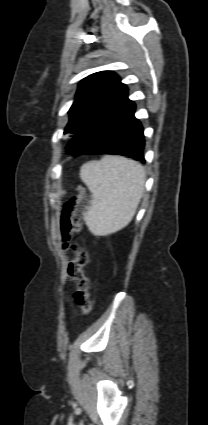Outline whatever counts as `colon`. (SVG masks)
Instances as JSON below:
<instances>
[{
    "instance_id": "obj_1",
    "label": "colon",
    "mask_w": 208,
    "mask_h": 425,
    "mask_svg": "<svg viewBox=\"0 0 208 425\" xmlns=\"http://www.w3.org/2000/svg\"><path fill=\"white\" fill-rule=\"evenodd\" d=\"M75 190L77 194L64 204L60 220V232L63 248L74 255L67 265V276L75 283L76 288L73 294L74 301L84 314H88L92 308V301L89 292V279L85 275L84 268L89 262V256L82 246L71 242L72 238L81 231L86 189L83 185H77Z\"/></svg>"
}]
</instances>
